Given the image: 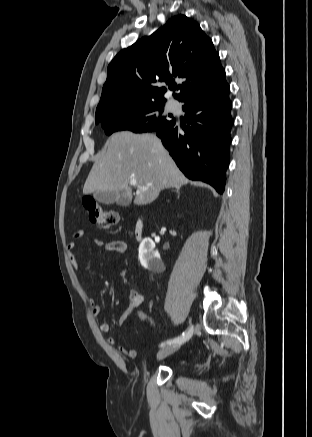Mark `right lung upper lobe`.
I'll list each match as a JSON object with an SVG mask.
<instances>
[{
  "instance_id": "obj_1",
  "label": "right lung upper lobe",
  "mask_w": 312,
  "mask_h": 437,
  "mask_svg": "<svg viewBox=\"0 0 312 437\" xmlns=\"http://www.w3.org/2000/svg\"><path fill=\"white\" fill-rule=\"evenodd\" d=\"M225 71L213 43L199 24L184 15L169 20L148 37L120 51L107 69V80L96 109V120L129 105L164 101L165 87L179 85L175 98L188 95L215 82Z\"/></svg>"
}]
</instances>
